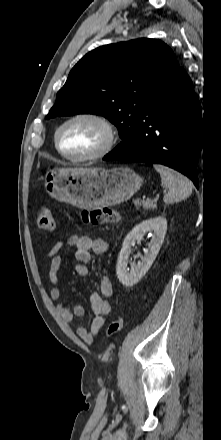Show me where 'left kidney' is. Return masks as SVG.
I'll use <instances>...</instances> for the list:
<instances>
[{
	"label": "left kidney",
	"instance_id": "1",
	"mask_svg": "<svg viewBox=\"0 0 221 440\" xmlns=\"http://www.w3.org/2000/svg\"><path fill=\"white\" fill-rule=\"evenodd\" d=\"M167 231V220L163 216H157L137 224L125 237L122 249L118 256L116 273L119 281L126 287H132L138 283L153 264ZM146 233L151 235V241L144 256L137 265L127 268L131 248L136 241H141Z\"/></svg>",
	"mask_w": 221,
	"mask_h": 440
}]
</instances>
